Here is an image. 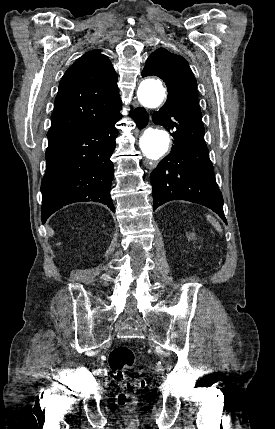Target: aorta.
<instances>
[{"mask_svg":"<svg viewBox=\"0 0 275 429\" xmlns=\"http://www.w3.org/2000/svg\"><path fill=\"white\" fill-rule=\"evenodd\" d=\"M139 102L147 108L159 107L165 98V89L156 79H146L141 82L137 92ZM169 134L160 128H147L139 139L143 154L152 160L162 157L169 148Z\"/></svg>","mask_w":275,"mask_h":429,"instance_id":"aorta-1","label":"aorta"}]
</instances>
